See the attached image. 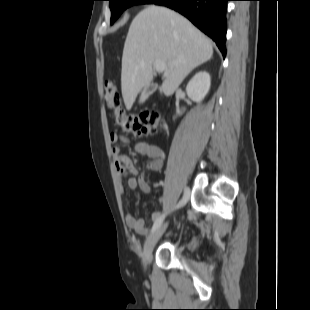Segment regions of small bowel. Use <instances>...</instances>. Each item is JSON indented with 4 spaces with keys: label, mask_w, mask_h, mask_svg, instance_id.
I'll list each match as a JSON object with an SVG mask.
<instances>
[{
    "label": "small bowel",
    "mask_w": 310,
    "mask_h": 310,
    "mask_svg": "<svg viewBox=\"0 0 310 310\" xmlns=\"http://www.w3.org/2000/svg\"><path fill=\"white\" fill-rule=\"evenodd\" d=\"M109 140L112 144V157L119 180L120 193L124 194L122 181L125 178H127V185L131 190H135L139 187L143 192L149 193L151 188L146 182L145 176L148 172H156L163 167L166 157L164 151L155 144L147 142H136L134 146L135 150L141 155L151 159L142 170H139L138 167L134 164L133 160L130 157L122 154L121 149L116 146L118 142L129 144L131 142L129 137L113 131L109 135ZM160 215V212H153L151 214V220L155 222ZM126 224L130 229L139 235H145L148 232L145 220L137 219L130 213L126 215Z\"/></svg>",
    "instance_id": "1"
}]
</instances>
